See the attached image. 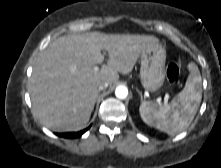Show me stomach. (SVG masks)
I'll return each instance as SVG.
<instances>
[{"mask_svg":"<svg viewBox=\"0 0 221 168\" xmlns=\"http://www.w3.org/2000/svg\"><path fill=\"white\" fill-rule=\"evenodd\" d=\"M166 51L162 46L144 50L141 53L140 81L150 92L160 89L165 82Z\"/></svg>","mask_w":221,"mask_h":168,"instance_id":"0dacf381","label":"stomach"}]
</instances>
